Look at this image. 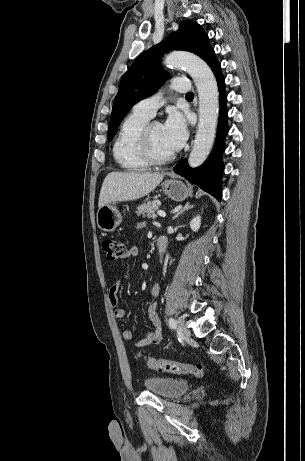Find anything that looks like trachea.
I'll return each instance as SVG.
<instances>
[{"label":"trachea","instance_id":"trachea-1","mask_svg":"<svg viewBox=\"0 0 305 461\" xmlns=\"http://www.w3.org/2000/svg\"><path fill=\"white\" fill-rule=\"evenodd\" d=\"M186 97H193V93L192 92L187 93Z\"/></svg>","mask_w":305,"mask_h":461}]
</instances>
